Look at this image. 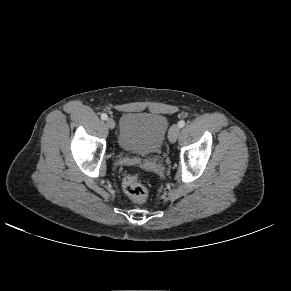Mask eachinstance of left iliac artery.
<instances>
[{"label":"left iliac artery","instance_id":"1","mask_svg":"<svg viewBox=\"0 0 291 291\" xmlns=\"http://www.w3.org/2000/svg\"><path fill=\"white\" fill-rule=\"evenodd\" d=\"M178 126H179L180 128L184 127V126H185V121H184V120L179 121V122H178Z\"/></svg>","mask_w":291,"mask_h":291}]
</instances>
